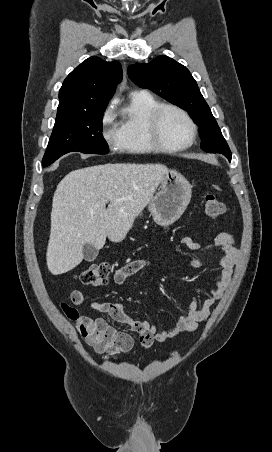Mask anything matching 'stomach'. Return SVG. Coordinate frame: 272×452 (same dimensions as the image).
<instances>
[{
	"label": "stomach",
	"instance_id": "0dacf381",
	"mask_svg": "<svg viewBox=\"0 0 272 452\" xmlns=\"http://www.w3.org/2000/svg\"><path fill=\"white\" fill-rule=\"evenodd\" d=\"M159 191L148 205L153 220L160 226H169L177 221L191 199V185L176 170H167L159 183Z\"/></svg>",
	"mask_w": 272,
	"mask_h": 452
}]
</instances>
